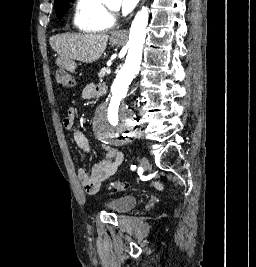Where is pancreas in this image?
Instances as JSON below:
<instances>
[{"mask_svg": "<svg viewBox=\"0 0 256 267\" xmlns=\"http://www.w3.org/2000/svg\"><path fill=\"white\" fill-rule=\"evenodd\" d=\"M106 70L107 68H102L101 74H99V78H104Z\"/></svg>", "mask_w": 256, "mask_h": 267, "instance_id": "obj_1", "label": "pancreas"}]
</instances>
